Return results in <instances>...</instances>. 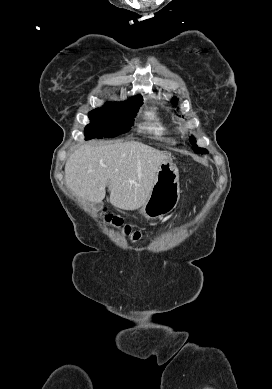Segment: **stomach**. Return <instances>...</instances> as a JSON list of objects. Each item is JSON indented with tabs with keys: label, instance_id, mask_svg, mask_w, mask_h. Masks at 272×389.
I'll return each instance as SVG.
<instances>
[{
	"label": "stomach",
	"instance_id": "stomach-1",
	"mask_svg": "<svg viewBox=\"0 0 272 389\" xmlns=\"http://www.w3.org/2000/svg\"><path fill=\"white\" fill-rule=\"evenodd\" d=\"M180 198L179 171L171 159L160 164L150 192L140 213L148 219H156L172 212Z\"/></svg>",
	"mask_w": 272,
	"mask_h": 389
}]
</instances>
